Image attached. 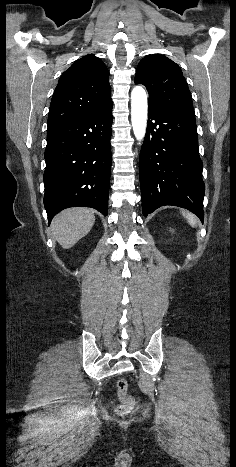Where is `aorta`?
<instances>
[{
	"label": "aorta",
	"instance_id": "obj_1",
	"mask_svg": "<svg viewBox=\"0 0 236 467\" xmlns=\"http://www.w3.org/2000/svg\"><path fill=\"white\" fill-rule=\"evenodd\" d=\"M147 94L141 86H136L131 92V122L133 132L138 141L145 137L147 127Z\"/></svg>",
	"mask_w": 236,
	"mask_h": 467
}]
</instances>
